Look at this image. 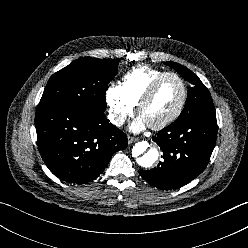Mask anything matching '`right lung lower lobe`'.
<instances>
[{
    "label": "right lung lower lobe",
    "instance_id": "obj_1",
    "mask_svg": "<svg viewBox=\"0 0 248 248\" xmlns=\"http://www.w3.org/2000/svg\"><path fill=\"white\" fill-rule=\"evenodd\" d=\"M37 145L49 170L63 181L84 184L97 178L127 136L104 113L61 104L38 105Z\"/></svg>",
    "mask_w": 248,
    "mask_h": 248
}]
</instances>
